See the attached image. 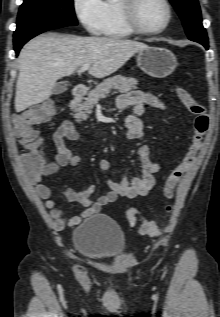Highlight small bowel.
Returning <instances> with one entry per match:
<instances>
[{
  "instance_id": "small-bowel-1",
  "label": "small bowel",
  "mask_w": 220,
  "mask_h": 317,
  "mask_svg": "<svg viewBox=\"0 0 220 317\" xmlns=\"http://www.w3.org/2000/svg\"><path fill=\"white\" fill-rule=\"evenodd\" d=\"M144 105L163 109V102L154 94L141 90H133L122 94L118 98L120 109L131 108V113L126 117V135L129 139H139L143 135V122L140 115L143 113ZM78 141L80 134L76 131L73 123L64 121L53 134L57 153L53 161L44 163L40 170L29 167L25 162V155L21 156L23 167L27 170L29 181L36 194L44 200L46 208L52 220L54 229L60 230L66 226L79 224L84 218L94 215L105 205L116 201L120 197L135 198L147 195L155 185V174L159 170V164L151 158L150 149L147 145H140L137 148V156L140 160L141 175L128 180L123 178L120 181L108 179L110 190L100 195L96 200L92 198L96 192L95 186H89L83 191H75L66 188L64 193L69 200L81 203L86 209L77 216H66L62 209L56 207V201L52 198L51 189L43 183L46 176L55 174L63 167H76L81 164V157L69 151L64 140ZM102 171H108L111 161L102 159L98 163Z\"/></svg>"
}]
</instances>
